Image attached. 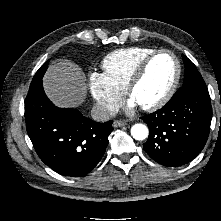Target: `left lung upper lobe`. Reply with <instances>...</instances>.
Wrapping results in <instances>:
<instances>
[{"label": "left lung upper lobe", "instance_id": "obj_1", "mask_svg": "<svg viewBox=\"0 0 221 221\" xmlns=\"http://www.w3.org/2000/svg\"><path fill=\"white\" fill-rule=\"evenodd\" d=\"M182 57L185 65L184 83L182 88H180L176 94L189 89L206 87L196 66L186 56L183 55Z\"/></svg>", "mask_w": 221, "mask_h": 221}]
</instances>
